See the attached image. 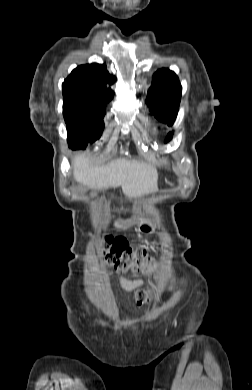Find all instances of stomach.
I'll use <instances>...</instances> for the list:
<instances>
[{
    "label": "stomach",
    "mask_w": 252,
    "mask_h": 390,
    "mask_svg": "<svg viewBox=\"0 0 252 390\" xmlns=\"http://www.w3.org/2000/svg\"><path fill=\"white\" fill-rule=\"evenodd\" d=\"M116 228H124L121 224L118 222L115 223ZM154 227V223L151 219L146 218L144 216L140 217L139 219V228L142 232H150Z\"/></svg>",
    "instance_id": "obj_1"
}]
</instances>
